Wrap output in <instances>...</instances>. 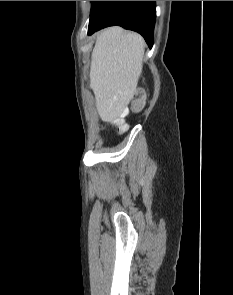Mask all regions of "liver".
<instances>
[{
	"label": "liver",
	"instance_id": "obj_1",
	"mask_svg": "<svg viewBox=\"0 0 233 295\" xmlns=\"http://www.w3.org/2000/svg\"><path fill=\"white\" fill-rule=\"evenodd\" d=\"M141 35L119 26L101 31L91 55L90 88L103 121L116 120L128 106L143 68Z\"/></svg>",
	"mask_w": 233,
	"mask_h": 295
}]
</instances>
